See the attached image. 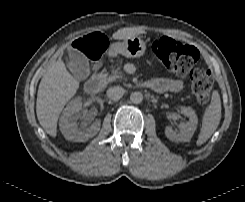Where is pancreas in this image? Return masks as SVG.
Segmentation results:
<instances>
[{
	"instance_id": "1",
	"label": "pancreas",
	"mask_w": 245,
	"mask_h": 202,
	"mask_svg": "<svg viewBox=\"0 0 245 202\" xmlns=\"http://www.w3.org/2000/svg\"><path fill=\"white\" fill-rule=\"evenodd\" d=\"M124 74L121 71V66H118L117 68H113L111 74L107 77L106 81L111 83L116 80H126L125 77H123Z\"/></svg>"
}]
</instances>
